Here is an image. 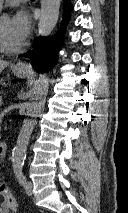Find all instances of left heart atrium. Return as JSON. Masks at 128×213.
<instances>
[{
    "mask_svg": "<svg viewBox=\"0 0 128 213\" xmlns=\"http://www.w3.org/2000/svg\"><path fill=\"white\" fill-rule=\"evenodd\" d=\"M11 28L16 41L21 45L30 32V17L24 9H18L11 18Z\"/></svg>",
    "mask_w": 128,
    "mask_h": 213,
    "instance_id": "39dd6f15",
    "label": "left heart atrium"
}]
</instances>
